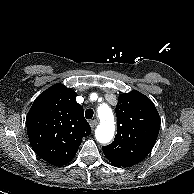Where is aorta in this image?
Returning <instances> with one entry per match:
<instances>
[{
	"mask_svg": "<svg viewBox=\"0 0 194 194\" xmlns=\"http://www.w3.org/2000/svg\"><path fill=\"white\" fill-rule=\"evenodd\" d=\"M97 112L100 124L95 130V137L99 143L107 144L113 139L115 132L113 112L111 108L105 104L100 105Z\"/></svg>",
	"mask_w": 194,
	"mask_h": 194,
	"instance_id": "obj_1",
	"label": "aorta"
}]
</instances>
